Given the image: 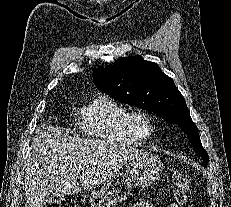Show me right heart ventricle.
Returning <instances> with one entry per match:
<instances>
[{"label":"right heart ventricle","mask_w":231,"mask_h":207,"mask_svg":"<svg viewBox=\"0 0 231 207\" xmlns=\"http://www.w3.org/2000/svg\"><path fill=\"white\" fill-rule=\"evenodd\" d=\"M128 113L127 107L103 93L96 94L74 111L78 129L84 135L101 141L138 144L140 140L128 124Z\"/></svg>","instance_id":"1"}]
</instances>
